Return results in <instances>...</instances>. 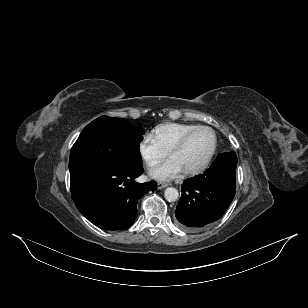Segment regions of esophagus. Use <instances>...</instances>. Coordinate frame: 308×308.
I'll list each match as a JSON object with an SVG mask.
<instances>
[{
    "label": "esophagus",
    "instance_id": "1",
    "mask_svg": "<svg viewBox=\"0 0 308 308\" xmlns=\"http://www.w3.org/2000/svg\"><path fill=\"white\" fill-rule=\"evenodd\" d=\"M168 185H169L168 183L159 182V183L157 184V188H158V189H164V188H166Z\"/></svg>",
    "mask_w": 308,
    "mask_h": 308
}]
</instances>
